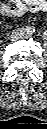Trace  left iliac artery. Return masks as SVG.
I'll list each match as a JSON object with an SVG mask.
<instances>
[{
	"label": "left iliac artery",
	"instance_id": "1",
	"mask_svg": "<svg viewBox=\"0 0 47 129\" xmlns=\"http://www.w3.org/2000/svg\"><path fill=\"white\" fill-rule=\"evenodd\" d=\"M46 37H47V34H46V33H44V34H43V38H44V39H46Z\"/></svg>",
	"mask_w": 47,
	"mask_h": 129
}]
</instances>
